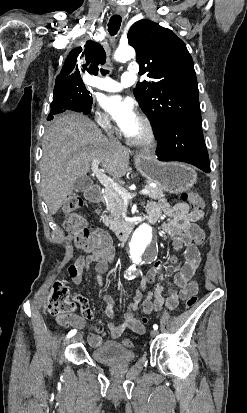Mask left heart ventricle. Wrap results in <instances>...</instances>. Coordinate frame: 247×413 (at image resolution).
Here are the masks:
<instances>
[{
	"instance_id": "obj_1",
	"label": "left heart ventricle",
	"mask_w": 247,
	"mask_h": 413,
	"mask_svg": "<svg viewBox=\"0 0 247 413\" xmlns=\"http://www.w3.org/2000/svg\"><path fill=\"white\" fill-rule=\"evenodd\" d=\"M146 135H147V129H146L145 125L142 123L141 126L139 128H137L132 133L130 138H132V139H142V138L146 137Z\"/></svg>"
}]
</instances>
